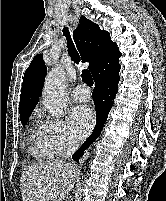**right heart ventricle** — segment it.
I'll return each mask as SVG.
<instances>
[{
  "label": "right heart ventricle",
  "instance_id": "e07e8e85",
  "mask_svg": "<svg viewBox=\"0 0 166 201\" xmlns=\"http://www.w3.org/2000/svg\"><path fill=\"white\" fill-rule=\"evenodd\" d=\"M31 137L33 143L32 152L35 156L40 159H51L57 155L47 139L44 124H35L31 129Z\"/></svg>",
  "mask_w": 166,
  "mask_h": 201
}]
</instances>
